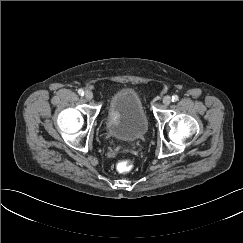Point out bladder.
I'll list each match as a JSON object with an SVG mask.
<instances>
[{
	"label": "bladder",
	"mask_w": 243,
	"mask_h": 243,
	"mask_svg": "<svg viewBox=\"0 0 243 243\" xmlns=\"http://www.w3.org/2000/svg\"><path fill=\"white\" fill-rule=\"evenodd\" d=\"M108 133L122 141L143 138L149 129V120L141 98L133 89H121L110 99L106 111Z\"/></svg>",
	"instance_id": "1"
}]
</instances>
